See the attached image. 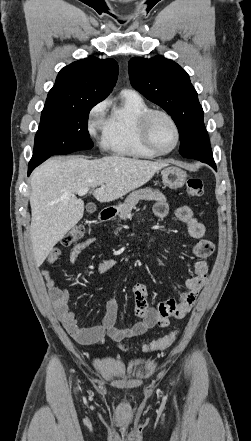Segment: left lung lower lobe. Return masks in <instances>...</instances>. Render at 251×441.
Wrapping results in <instances>:
<instances>
[{"instance_id":"left-lung-lower-lobe-1","label":"left lung lower lobe","mask_w":251,"mask_h":441,"mask_svg":"<svg viewBox=\"0 0 251 441\" xmlns=\"http://www.w3.org/2000/svg\"><path fill=\"white\" fill-rule=\"evenodd\" d=\"M190 149L194 153H191L186 158L200 160L209 164L216 170V164L213 159L208 133L205 127L193 134V137L190 140Z\"/></svg>"}]
</instances>
